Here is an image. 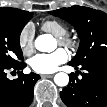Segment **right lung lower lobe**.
<instances>
[{"label":"right lung lower lobe","instance_id":"obj_1","mask_svg":"<svg viewBox=\"0 0 107 107\" xmlns=\"http://www.w3.org/2000/svg\"><path fill=\"white\" fill-rule=\"evenodd\" d=\"M25 66L24 63L11 67L0 65V107H29L31 104L34 85L40 76L35 73L21 74L12 81L6 77L7 69L19 70L20 73Z\"/></svg>","mask_w":107,"mask_h":107}]
</instances>
